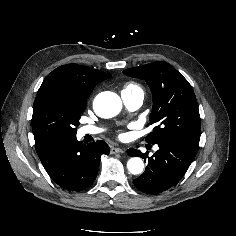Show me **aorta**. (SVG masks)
<instances>
[{"mask_svg":"<svg viewBox=\"0 0 236 236\" xmlns=\"http://www.w3.org/2000/svg\"><path fill=\"white\" fill-rule=\"evenodd\" d=\"M93 108L100 117L112 118L121 111L122 101L116 93L105 91L95 97ZM127 168L131 174H140L144 169V163L141 158L132 157L127 162Z\"/></svg>","mask_w":236,"mask_h":236,"instance_id":"aorta-1","label":"aorta"}]
</instances>
